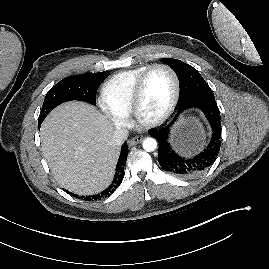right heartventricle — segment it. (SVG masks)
Wrapping results in <instances>:
<instances>
[{"mask_svg":"<svg viewBox=\"0 0 269 269\" xmlns=\"http://www.w3.org/2000/svg\"><path fill=\"white\" fill-rule=\"evenodd\" d=\"M148 66H139L120 71L111 76L101 90L104 105L119 114L131 113L132 95L136 82Z\"/></svg>","mask_w":269,"mask_h":269,"instance_id":"right-heart-ventricle-1","label":"right heart ventricle"}]
</instances>
